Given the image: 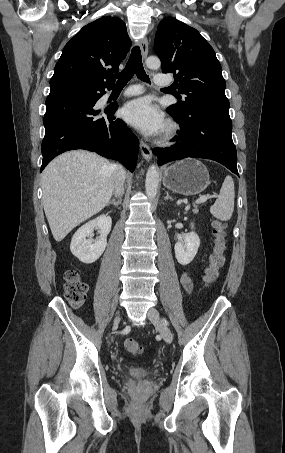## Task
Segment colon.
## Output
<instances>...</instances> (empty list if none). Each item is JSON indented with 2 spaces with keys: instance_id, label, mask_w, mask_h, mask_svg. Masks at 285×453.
Returning a JSON list of instances; mask_svg holds the SVG:
<instances>
[{
  "instance_id": "colon-1",
  "label": "colon",
  "mask_w": 285,
  "mask_h": 453,
  "mask_svg": "<svg viewBox=\"0 0 285 453\" xmlns=\"http://www.w3.org/2000/svg\"><path fill=\"white\" fill-rule=\"evenodd\" d=\"M214 236L213 252L209 256L208 266L205 269L203 281L206 287L211 286L218 278L220 269L225 262L224 251L226 249V225L215 220L212 224ZM64 290L65 298L68 303L74 307H81L87 298L88 285L81 278L77 271L69 269L64 275ZM126 350L132 355H141L143 353V346L134 339H127L125 341Z\"/></svg>"
}]
</instances>
